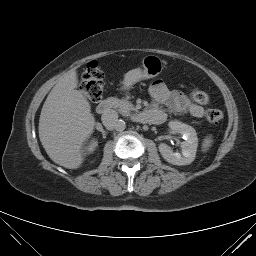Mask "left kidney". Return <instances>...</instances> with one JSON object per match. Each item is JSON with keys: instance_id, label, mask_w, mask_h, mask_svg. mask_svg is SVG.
Here are the masks:
<instances>
[{"instance_id": "1", "label": "left kidney", "mask_w": 256, "mask_h": 256, "mask_svg": "<svg viewBox=\"0 0 256 256\" xmlns=\"http://www.w3.org/2000/svg\"><path fill=\"white\" fill-rule=\"evenodd\" d=\"M169 127L176 133H180L185 138V141L181 143L182 154L174 153L171 148L165 144H159V152L162 157L173 165H188L195 159L198 138L195 129L187 124L179 121L169 122Z\"/></svg>"}]
</instances>
